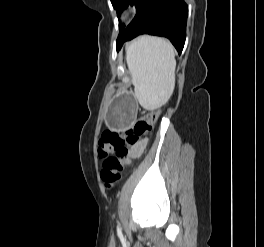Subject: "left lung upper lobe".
Wrapping results in <instances>:
<instances>
[{
	"instance_id": "1",
	"label": "left lung upper lobe",
	"mask_w": 264,
	"mask_h": 247,
	"mask_svg": "<svg viewBox=\"0 0 264 247\" xmlns=\"http://www.w3.org/2000/svg\"><path fill=\"white\" fill-rule=\"evenodd\" d=\"M145 0H111V3L113 7L116 9L118 16H120L121 12L126 8L129 4L135 5L137 12L141 8L142 4ZM124 31V26H121L120 32L118 37L121 36V34Z\"/></svg>"
}]
</instances>
